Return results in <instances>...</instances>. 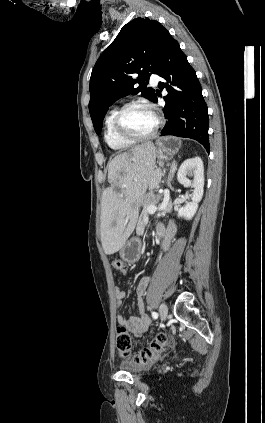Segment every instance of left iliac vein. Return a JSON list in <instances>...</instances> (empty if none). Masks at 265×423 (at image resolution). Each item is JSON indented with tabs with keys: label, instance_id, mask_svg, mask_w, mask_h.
<instances>
[{
	"label": "left iliac vein",
	"instance_id": "obj_1",
	"mask_svg": "<svg viewBox=\"0 0 265 423\" xmlns=\"http://www.w3.org/2000/svg\"><path fill=\"white\" fill-rule=\"evenodd\" d=\"M168 314V308L165 303H161L159 307V315L162 320H166Z\"/></svg>",
	"mask_w": 265,
	"mask_h": 423
}]
</instances>
